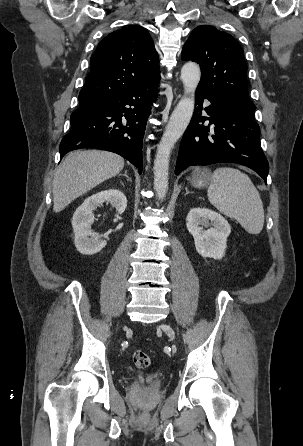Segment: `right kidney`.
<instances>
[{"instance_id":"1","label":"right kidney","mask_w":303,"mask_h":446,"mask_svg":"<svg viewBox=\"0 0 303 446\" xmlns=\"http://www.w3.org/2000/svg\"><path fill=\"white\" fill-rule=\"evenodd\" d=\"M109 202L119 214L127 207L125 195L117 189H109L98 192L88 197L74 212L72 227L74 231V243L77 250L84 255H93L100 252L106 246V240L91 230L94 220L93 211L104 203Z\"/></svg>"}]
</instances>
